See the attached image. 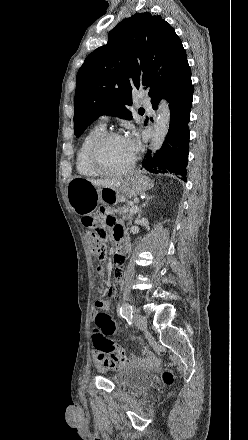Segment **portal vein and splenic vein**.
Instances as JSON below:
<instances>
[{"label": "portal vein and splenic vein", "mask_w": 248, "mask_h": 440, "mask_svg": "<svg viewBox=\"0 0 248 440\" xmlns=\"http://www.w3.org/2000/svg\"><path fill=\"white\" fill-rule=\"evenodd\" d=\"M138 210H139V208H138L137 205H132L131 208H130V211H131L132 213H137Z\"/></svg>", "instance_id": "18ae733b"}]
</instances>
